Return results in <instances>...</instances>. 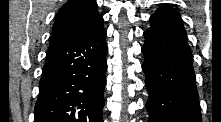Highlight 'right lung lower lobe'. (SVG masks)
Wrapping results in <instances>:
<instances>
[{
	"label": "right lung lower lobe",
	"mask_w": 221,
	"mask_h": 122,
	"mask_svg": "<svg viewBox=\"0 0 221 122\" xmlns=\"http://www.w3.org/2000/svg\"><path fill=\"white\" fill-rule=\"evenodd\" d=\"M107 51L102 24L49 50L34 122H103Z\"/></svg>",
	"instance_id": "1"
}]
</instances>
